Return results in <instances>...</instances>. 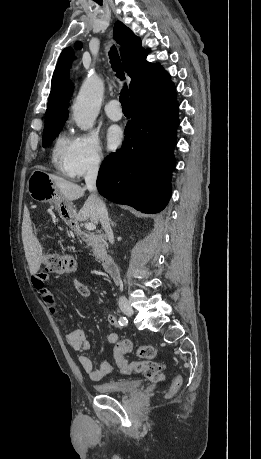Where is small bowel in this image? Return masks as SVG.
<instances>
[{
    "label": "small bowel",
    "mask_w": 261,
    "mask_h": 459,
    "mask_svg": "<svg viewBox=\"0 0 261 459\" xmlns=\"http://www.w3.org/2000/svg\"><path fill=\"white\" fill-rule=\"evenodd\" d=\"M49 280V274L42 270L33 278V285L40 298L48 308L51 315L58 321L62 319L61 310L56 302V299L50 289L47 286ZM72 286L84 297H89L91 292L90 289L76 279L70 280ZM107 320L114 329H120L119 320L112 314H108ZM118 334L111 332L107 336V341L110 344L117 343ZM66 340L69 346L80 353L79 363L82 369L89 375L93 381H100L103 378L112 374L117 366V356L114 353V363L103 362L99 369H94L92 361L89 356L85 354L90 349V342L87 338L86 332L82 329H77L66 334Z\"/></svg>",
    "instance_id": "small-bowel-1"
}]
</instances>
